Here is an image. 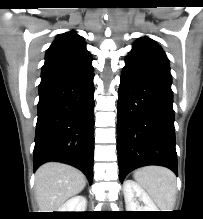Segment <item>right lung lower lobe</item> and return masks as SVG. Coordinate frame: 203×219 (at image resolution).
Masks as SVG:
<instances>
[{"mask_svg":"<svg viewBox=\"0 0 203 219\" xmlns=\"http://www.w3.org/2000/svg\"><path fill=\"white\" fill-rule=\"evenodd\" d=\"M91 60L42 69L34 171L45 162L59 161L80 169L92 183L94 72Z\"/></svg>","mask_w":203,"mask_h":219,"instance_id":"obj_1","label":"right lung lower lobe"}]
</instances>
